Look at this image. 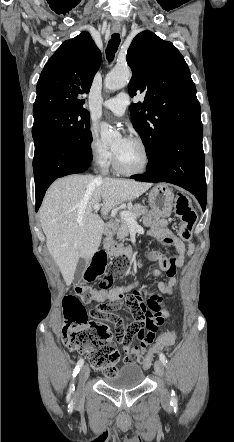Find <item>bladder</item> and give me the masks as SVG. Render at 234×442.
<instances>
[{
	"label": "bladder",
	"mask_w": 234,
	"mask_h": 442,
	"mask_svg": "<svg viewBox=\"0 0 234 442\" xmlns=\"http://www.w3.org/2000/svg\"><path fill=\"white\" fill-rule=\"evenodd\" d=\"M144 379L143 369L136 364L124 365L114 376L105 377L104 383L114 389H130L139 386Z\"/></svg>",
	"instance_id": "31cf9c89"
}]
</instances>
